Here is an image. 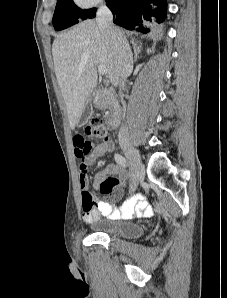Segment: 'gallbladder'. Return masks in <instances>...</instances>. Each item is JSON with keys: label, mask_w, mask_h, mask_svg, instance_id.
Here are the masks:
<instances>
[{"label": "gallbladder", "mask_w": 227, "mask_h": 298, "mask_svg": "<svg viewBox=\"0 0 227 298\" xmlns=\"http://www.w3.org/2000/svg\"><path fill=\"white\" fill-rule=\"evenodd\" d=\"M92 114H93V106L91 103V99H88L84 109L82 110L77 126L81 127L85 125L88 122V120L91 118Z\"/></svg>", "instance_id": "obj_1"}]
</instances>
